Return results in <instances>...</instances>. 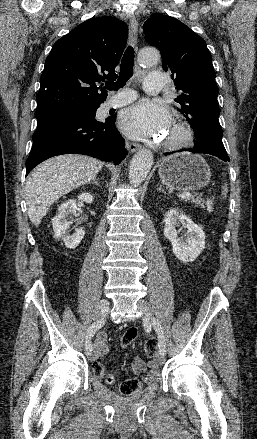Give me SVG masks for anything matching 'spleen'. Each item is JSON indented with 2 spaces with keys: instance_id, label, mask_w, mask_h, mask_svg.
<instances>
[{
  "instance_id": "spleen-1",
  "label": "spleen",
  "mask_w": 257,
  "mask_h": 439,
  "mask_svg": "<svg viewBox=\"0 0 257 439\" xmlns=\"http://www.w3.org/2000/svg\"><path fill=\"white\" fill-rule=\"evenodd\" d=\"M227 193H228V188H227V184L225 183L222 186V195H223V197H226Z\"/></svg>"
}]
</instances>
